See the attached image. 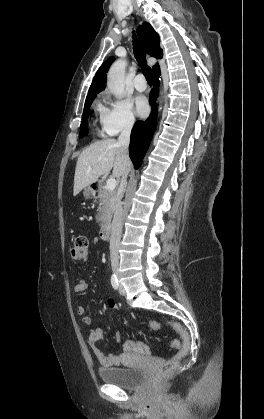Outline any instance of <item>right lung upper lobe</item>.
I'll return each instance as SVG.
<instances>
[{
    "label": "right lung upper lobe",
    "mask_w": 264,
    "mask_h": 419,
    "mask_svg": "<svg viewBox=\"0 0 264 419\" xmlns=\"http://www.w3.org/2000/svg\"><path fill=\"white\" fill-rule=\"evenodd\" d=\"M137 32L146 53L152 57L162 58L163 51L160 48L159 35L154 31L152 26L149 23H143L137 28ZM113 61L114 57H109L107 61L100 66L92 81L86 100L96 96V94L106 87V72ZM152 71L153 73L160 71L159 65H154Z\"/></svg>",
    "instance_id": "cb5924a9"
}]
</instances>
